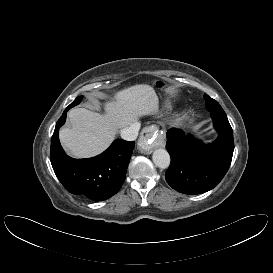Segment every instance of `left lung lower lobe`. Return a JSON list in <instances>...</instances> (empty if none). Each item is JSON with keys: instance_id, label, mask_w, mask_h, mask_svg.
I'll list each match as a JSON object with an SVG mask.
<instances>
[{"instance_id": "0a47b994", "label": "left lung lower lobe", "mask_w": 273, "mask_h": 273, "mask_svg": "<svg viewBox=\"0 0 273 273\" xmlns=\"http://www.w3.org/2000/svg\"><path fill=\"white\" fill-rule=\"evenodd\" d=\"M218 138L209 145L192 141L181 130L170 129L166 149L171 164L166 171L167 183L184 194H201L213 189L231 164L234 141L226 114H211Z\"/></svg>"}]
</instances>
